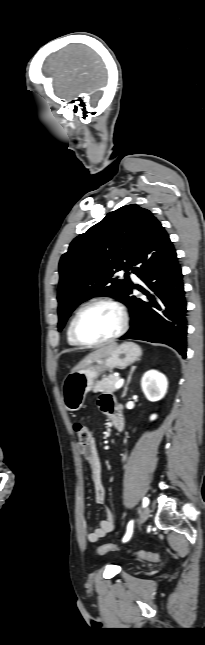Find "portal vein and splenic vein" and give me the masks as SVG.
<instances>
[{"mask_svg":"<svg viewBox=\"0 0 205 645\" xmlns=\"http://www.w3.org/2000/svg\"><path fill=\"white\" fill-rule=\"evenodd\" d=\"M123 384H124V379H119V380L116 382V385H115L116 389L121 388V387L123 386Z\"/></svg>","mask_w":205,"mask_h":645,"instance_id":"18ae733b","label":"portal vein and splenic vein"}]
</instances>
